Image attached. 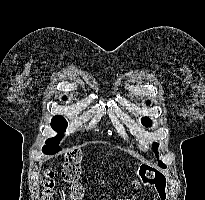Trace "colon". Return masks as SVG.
Segmentation results:
<instances>
[{
	"label": "colon",
	"instance_id": "obj_1",
	"mask_svg": "<svg viewBox=\"0 0 205 200\" xmlns=\"http://www.w3.org/2000/svg\"><path fill=\"white\" fill-rule=\"evenodd\" d=\"M82 153L78 149H71L65 153L64 162L62 165L61 175L62 179L70 185L71 200H83L84 189L81 186L79 179L81 175ZM133 186L140 188L142 186H149L156 189L158 194L164 200L167 190L166 177L157 169L148 165H140L137 169V178ZM56 188V173L54 169L47 168L44 171L42 179V198L41 200H55ZM129 200V199H121Z\"/></svg>",
	"mask_w": 205,
	"mask_h": 200
}]
</instances>
